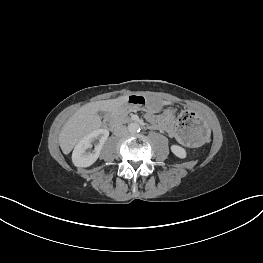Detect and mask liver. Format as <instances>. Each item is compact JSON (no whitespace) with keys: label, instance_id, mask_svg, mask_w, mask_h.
<instances>
[{"label":"liver","instance_id":"liver-1","mask_svg":"<svg viewBox=\"0 0 263 263\" xmlns=\"http://www.w3.org/2000/svg\"><path fill=\"white\" fill-rule=\"evenodd\" d=\"M128 95L116 99L88 103L76 111L66 122L59 134V144L64 154H69L74 146L86 135L101 127L99 111L113 112L126 104ZM161 105L171 102L161 101Z\"/></svg>","mask_w":263,"mask_h":263}]
</instances>
